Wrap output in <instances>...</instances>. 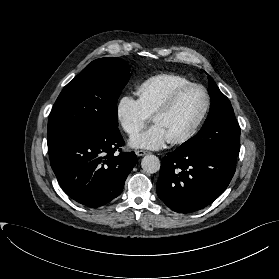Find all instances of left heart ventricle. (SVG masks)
I'll return each instance as SVG.
<instances>
[{
	"mask_svg": "<svg viewBox=\"0 0 279 279\" xmlns=\"http://www.w3.org/2000/svg\"><path fill=\"white\" fill-rule=\"evenodd\" d=\"M205 105V94L194 88L184 92L166 115L155 120L169 140L184 135L196 122Z\"/></svg>",
	"mask_w": 279,
	"mask_h": 279,
	"instance_id": "left-heart-ventricle-1",
	"label": "left heart ventricle"
}]
</instances>
